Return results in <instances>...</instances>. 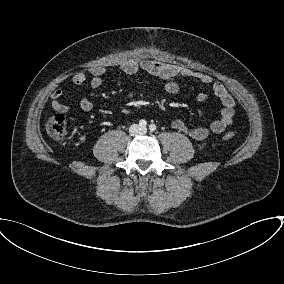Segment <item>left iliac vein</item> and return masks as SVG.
I'll list each match as a JSON object with an SVG mask.
<instances>
[{"instance_id": "4c4485c4", "label": "left iliac vein", "mask_w": 284, "mask_h": 284, "mask_svg": "<svg viewBox=\"0 0 284 284\" xmlns=\"http://www.w3.org/2000/svg\"><path fill=\"white\" fill-rule=\"evenodd\" d=\"M142 130H143L144 132L146 131V129H145V128H143Z\"/></svg>"}]
</instances>
